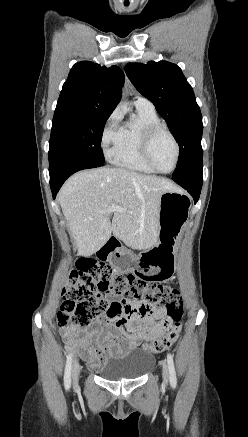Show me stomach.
<instances>
[{
  "label": "stomach",
  "instance_id": "0dacf381",
  "mask_svg": "<svg viewBox=\"0 0 248 437\" xmlns=\"http://www.w3.org/2000/svg\"><path fill=\"white\" fill-rule=\"evenodd\" d=\"M190 200L181 191H166L160 198L158 241L138 256L120 249L114 256V272L135 273L136 279H146V286H162L172 277L177 246L187 220Z\"/></svg>",
  "mask_w": 248,
  "mask_h": 437
}]
</instances>
